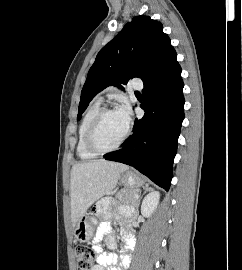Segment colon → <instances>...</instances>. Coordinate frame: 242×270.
Instances as JSON below:
<instances>
[{
	"instance_id": "5ec220e1",
	"label": "colon",
	"mask_w": 242,
	"mask_h": 270,
	"mask_svg": "<svg viewBox=\"0 0 242 270\" xmlns=\"http://www.w3.org/2000/svg\"><path fill=\"white\" fill-rule=\"evenodd\" d=\"M77 270H93L95 255L86 245H80L75 250Z\"/></svg>"
}]
</instances>
